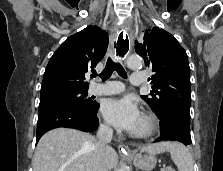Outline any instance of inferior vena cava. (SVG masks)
Returning <instances> with one entry per match:
<instances>
[{"label": "inferior vena cava", "mask_w": 223, "mask_h": 171, "mask_svg": "<svg viewBox=\"0 0 223 171\" xmlns=\"http://www.w3.org/2000/svg\"><path fill=\"white\" fill-rule=\"evenodd\" d=\"M113 136V130L108 125H100L97 132L96 148L94 153V163L92 171H108L104 152L111 142Z\"/></svg>", "instance_id": "1"}]
</instances>
